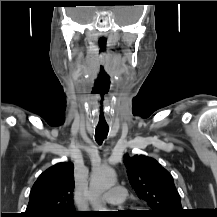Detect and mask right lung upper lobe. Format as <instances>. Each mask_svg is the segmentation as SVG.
I'll return each instance as SVG.
<instances>
[{"label":"right lung upper lobe","instance_id":"right-lung-upper-lobe-1","mask_svg":"<svg viewBox=\"0 0 217 217\" xmlns=\"http://www.w3.org/2000/svg\"><path fill=\"white\" fill-rule=\"evenodd\" d=\"M73 164L57 163L44 171L33 185L24 217L77 215L73 204Z\"/></svg>","mask_w":217,"mask_h":217}]
</instances>
